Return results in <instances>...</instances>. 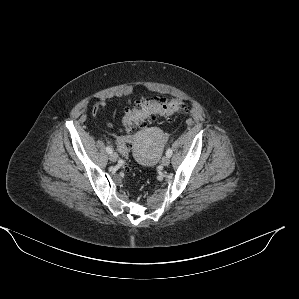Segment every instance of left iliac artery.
Wrapping results in <instances>:
<instances>
[{
	"mask_svg": "<svg viewBox=\"0 0 299 299\" xmlns=\"http://www.w3.org/2000/svg\"><path fill=\"white\" fill-rule=\"evenodd\" d=\"M172 149L171 148H168L167 151H166V156L168 157H171L172 156Z\"/></svg>",
	"mask_w": 299,
	"mask_h": 299,
	"instance_id": "obj_1",
	"label": "left iliac artery"
}]
</instances>
